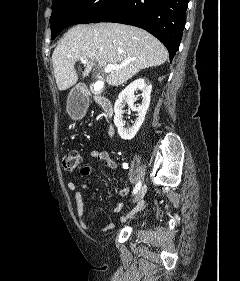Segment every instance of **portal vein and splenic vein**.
<instances>
[{
	"label": "portal vein and splenic vein",
	"instance_id": "obj_1",
	"mask_svg": "<svg viewBox=\"0 0 240 281\" xmlns=\"http://www.w3.org/2000/svg\"><path fill=\"white\" fill-rule=\"evenodd\" d=\"M81 62H82L83 64H86V63L88 62V60H87V59H84V58H81ZM120 68H121L120 66L109 64V65H106V66H105L104 72H105V73H110L111 71H113V70H119Z\"/></svg>",
	"mask_w": 240,
	"mask_h": 281
}]
</instances>
